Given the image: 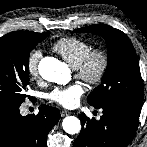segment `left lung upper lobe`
<instances>
[{
    "mask_svg": "<svg viewBox=\"0 0 147 147\" xmlns=\"http://www.w3.org/2000/svg\"><path fill=\"white\" fill-rule=\"evenodd\" d=\"M102 36L108 49V66L101 80L87 98L90 105H120L141 112L143 88L136 51L127 35L111 26L95 24L74 30Z\"/></svg>",
    "mask_w": 147,
    "mask_h": 147,
    "instance_id": "5c2ea615",
    "label": "left lung upper lobe"
}]
</instances>
